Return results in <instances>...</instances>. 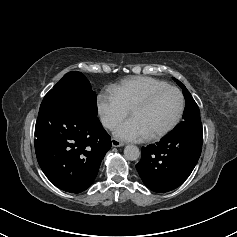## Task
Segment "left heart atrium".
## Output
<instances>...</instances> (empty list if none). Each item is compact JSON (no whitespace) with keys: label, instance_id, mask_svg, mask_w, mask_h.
<instances>
[{"label":"left heart atrium","instance_id":"obj_1","mask_svg":"<svg viewBox=\"0 0 237 237\" xmlns=\"http://www.w3.org/2000/svg\"><path fill=\"white\" fill-rule=\"evenodd\" d=\"M114 133L118 138L127 141H141L147 137L138 122L131 118L119 125Z\"/></svg>","mask_w":237,"mask_h":237}]
</instances>
